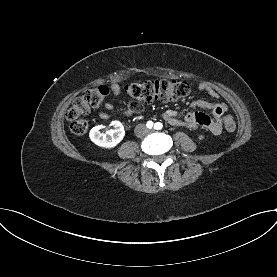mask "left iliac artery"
<instances>
[{"label":"left iliac artery","instance_id":"left-iliac-artery-1","mask_svg":"<svg viewBox=\"0 0 277 277\" xmlns=\"http://www.w3.org/2000/svg\"><path fill=\"white\" fill-rule=\"evenodd\" d=\"M162 127H163V125H162V123H160V122H157V123H155V125H154V128L157 129V130L161 129Z\"/></svg>","mask_w":277,"mask_h":277}]
</instances>
